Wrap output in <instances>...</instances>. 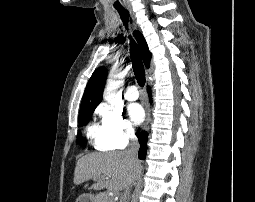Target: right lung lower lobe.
Masks as SVG:
<instances>
[{
    "instance_id": "obj_1",
    "label": "right lung lower lobe",
    "mask_w": 255,
    "mask_h": 202,
    "mask_svg": "<svg viewBox=\"0 0 255 202\" xmlns=\"http://www.w3.org/2000/svg\"><path fill=\"white\" fill-rule=\"evenodd\" d=\"M149 98H150V100H152V97H151L150 94H149ZM136 135H137V137L139 139V143L141 145L140 149H139L138 156H139V159L143 160L146 156V150H147V145H146V143H147V133H145V132L140 133V129H139L137 131Z\"/></svg>"
}]
</instances>
